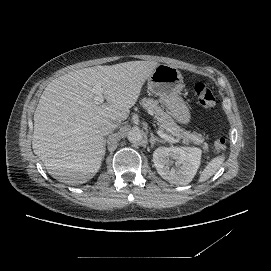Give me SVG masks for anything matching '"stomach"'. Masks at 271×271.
Listing matches in <instances>:
<instances>
[{"label": "stomach", "instance_id": "stomach-1", "mask_svg": "<svg viewBox=\"0 0 271 271\" xmlns=\"http://www.w3.org/2000/svg\"><path fill=\"white\" fill-rule=\"evenodd\" d=\"M147 86L166 106V112L173 120L180 125L191 123L190 107L181 96L184 88L183 76L176 67L160 64L149 77Z\"/></svg>", "mask_w": 271, "mask_h": 271}]
</instances>
